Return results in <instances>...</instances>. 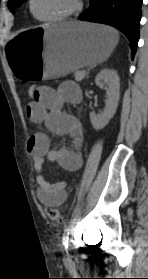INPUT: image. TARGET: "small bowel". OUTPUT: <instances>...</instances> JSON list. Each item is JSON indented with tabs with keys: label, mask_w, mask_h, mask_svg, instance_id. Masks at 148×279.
<instances>
[{
	"label": "small bowel",
	"mask_w": 148,
	"mask_h": 279,
	"mask_svg": "<svg viewBox=\"0 0 148 279\" xmlns=\"http://www.w3.org/2000/svg\"><path fill=\"white\" fill-rule=\"evenodd\" d=\"M81 92L76 83L67 81L58 89L40 86L39 94L26 105L29 120L44 124L49 131L57 135H67L73 140L72 147L59 150L50 148L49 138L44 133H36L28 141V151L33 158L36 171L37 195L39 200L49 206H59L66 199V181L50 183L42 174L45 159L58 164L67 171H76L82 163L78 146L82 141V128L79 121L63 110L65 104H76Z\"/></svg>",
	"instance_id": "c3829d8e"
}]
</instances>
